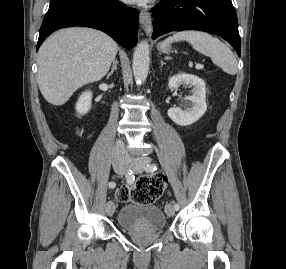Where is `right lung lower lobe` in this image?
<instances>
[{"mask_svg":"<svg viewBox=\"0 0 286 269\" xmlns=\"http://www.w3.org/2000/svg\"><path fill=\"white\" fill-rule=\"evenodd\" d=\"M139 14L118 0H66L51 5L39 32L37 50L54 31L69 26H84L101 30L127 49L137 44Z\"/></svg>","mask_w":286,"mask_h":269,"instance_id":"obj_1","label":"right lung lower lobe"}]
</instances>
